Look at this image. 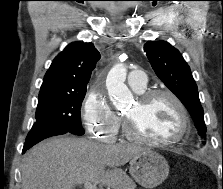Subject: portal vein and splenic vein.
Masks as SVG:
<instances>
[{
	"label": "portal vein and splenic vein",
	"instance_id": "portal-vein-and-splenic-vein-1",
	"mask_svg": "<svg viewBox=\"0 0 223 189\" xmlns=\"http://www.w3.org/2000/svg\"><path fill=\"white\" fill-rule=\"evenodd\" d=\"M83 188L84 189H98L97 186L92 184L91 182H85Z\"/></svg>",
	"mask_w": 223,
	"mask_h": 189
}]
</instances>
